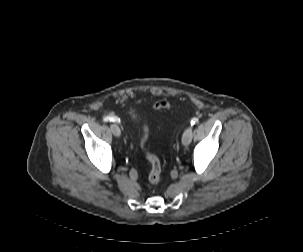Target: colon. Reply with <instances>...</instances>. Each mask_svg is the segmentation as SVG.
<instances>
[{"label": "colon", "mask_w": 303, "mask_h": 252, "mask_svg": "<svg viewBox=\"0 0 303 252\" xmlns=\"http://www.w3.org/2000/svg\"><path fill=\"white\" fill-rule=\"evenodd\" d=\"M168 106L169 103L167 101H159L153 105V108L162 109ZM147 138H148V131L147 128L144 127L141 137V146L144 148L145 156L150 164L149 180L151 183L157 184L160 181L161 164L158 157L146 149Z\"/></svg>", "instance_id": "1"}]
</instances>
